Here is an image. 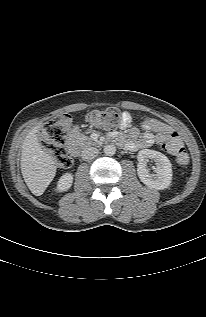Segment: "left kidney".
Listing matches in <instances>:
<instances>
[{"mask_svg":"<svg viewBox=\"0 0 206 317\" xmlns=\"http://www.w3.org/2000/svg\"><path fill=\"white\" fill-rule=\"evenodd\" d=\"M137 159V174L145 185L157 190H163L171 184L172 165L164 154L155 150L143 149L138 152ZM148 159L155 161V174H150L146 167Z\"/></svg>","mask_w":206,"mask_h":317,"instance_id":"obj_1","label":"left kidney"}]
</instances>
